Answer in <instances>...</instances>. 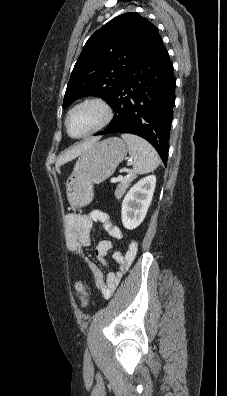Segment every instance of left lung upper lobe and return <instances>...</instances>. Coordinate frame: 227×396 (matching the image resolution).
Wrapping results in <instances>:
<instances>
[{"label":"left lung upper lobe","mask_w":227,"mask_h":396,"mask_svg":"<svg viewBox=\"0 0 227 396\" xmlns=\"http://www.w3.org/2000/svg\"><path fill=\"white\" fill-rule=\"evenodd\" d=\"M158 29L138 13H124L86 42L72 71L63 108L78 98L98 96L109 105L128 72L159 40Z\"/></svg>","instance_id":"1"}]
</instances>
